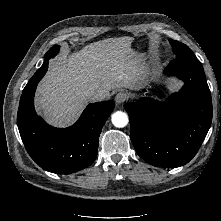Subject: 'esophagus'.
Returning a JSON list of instances; mask_svg holds the SVG:
<instances>
[{
	"mask_svg": "<svg viewBox=\"0 0 221 221\" xmlns=\"http://www.w3.org/2000/svg\"><path fill=\"white\" fill-rule=\"evenodd\" d=\"M126 99H127V94L123 92L118 93L115 97V101L117 104L123 103Z\"/></svg>",
	"mask_w": 221,
	"mask_h": 221,
	"instance_id": "1",
	"label": "esophagus"
}]
</instances>
